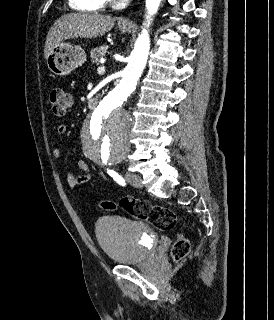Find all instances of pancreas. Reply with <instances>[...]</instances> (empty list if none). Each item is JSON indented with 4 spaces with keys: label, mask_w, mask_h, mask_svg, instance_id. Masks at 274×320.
I'll return each instance as SVG.
<instances>
[{
    "label": "pancreas",
    "mask_w": 274,
    "mask_h": 320,
    "mask_svg": "<svg viewBox=\"0 0 274 320\" xmlns=\"http://www.w3.org/2000/svg\"><path fill=\"white\" fill-rule=\"evenodd\" d=\"M108 46H100V48H94L90 52V58L93 64H100L101 58H105L107 54Z\"/></svg>",
    "instance_id": "obj_1"
}]
</instances>
